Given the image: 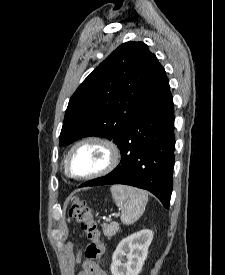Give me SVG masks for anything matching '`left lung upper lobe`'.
Instances as JSON below:
<instances>
[{
	"label": "left lung upper lobe",
	"instance_id": "5c2ea615",
	"mask_svg": "<svg viewBox=\"0 0 225 275\" xmlns=\"http://www.w3.org/2000/svg\"><path fill=\"white\" fill-rule=\"evenodd\" d=\"M167 81L164 67L145 43H123L70 98L59 145L101 136L119 146L128 127Z\"/></svg>",
	"mask_w": 225,
	"mask_h": 275
}]
</instances>
